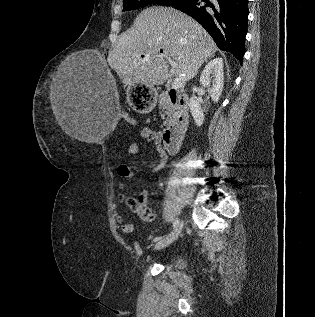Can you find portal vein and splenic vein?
Wrapping results in <instances>:
<instances>
[{
    "instance_id": "portal-vein-and-splenic-vein-1",
    "label": "portal vein and splenic vein",
    "mask_w": 315,
    "mask_h": 317,
    "mask_svg": "<svg viewBox=\"0 0 315 317\" xmlns=\"http://www.w3.org/2000/svg\"><path fill=\"white\" fill-rule=\"evenodd\" d=\"M167 62L170 64V66H171L172 68H175V67H176L175 61L172 60L170 57L167 58ZM184 77H185L184 74H180L179 76H177V77L175 78V80L173 81V83H172V88L177 89V88L181 87V86L183 85L184 81H185Z\"/></svg>"
}]
</instances>
